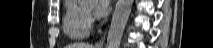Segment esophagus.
<instances>
[{
    "label": "esophagus",
    "instance_id": "34e87169",
    "mask_svg": "<svg viewBox=\"0 0 213 48\" xmlns=\"http://www.w3.org/2000/svg\"><path fill=\"white\" fill-rule=\"evenodd\" d=\"M104 39H105V37H103V38L96 44V47H97V48H103V46H104Z\"/></svg>",
    "mask_w": 213,
    "mask_h": 48
}]
</instances>
